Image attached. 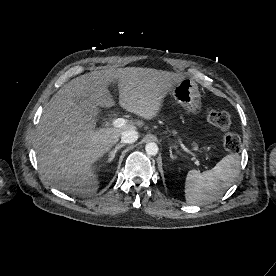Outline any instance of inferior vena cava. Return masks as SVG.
Instances as JSON below:
<instances>
[{
    "instance_id": "obj_1",
    "label": "inferior vena cava",
    "mask_w": 276,
    "mask_h": 276,
    "mask_svg": "<svg viewBox=\"0 0 276 276\" xmlns=\"http://www.w3.org/2000/svg\"><path fill=\"white\" fill-rule=\"evenodd\" d=\"M138 139V132L135 130H126L121 135V142L131 144Z\"/></svg>"
}]
</instances>
